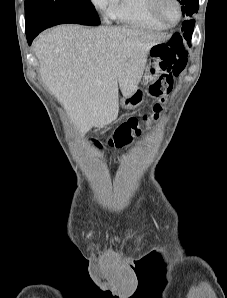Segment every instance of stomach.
<instances>
[{"label":"stomach","mask_w":227,"mask_h":298,"mask_svg":"<svg viewBox=\"0 0 227 298\" xmlns=\"http://www.w3.org/2000/svg\"><path fill=\"white\" fill-rule=\"evenodd\" d=\"M160 66L157 61H150L146 68V79L148 82L157 80L160 74ZM145 92L142 88L138 87L131 95L124 96L121 99V105L125 109H134L138 107L144 100Z\"/></svg>","instance_id":"stomach-1"}]
</instances>
